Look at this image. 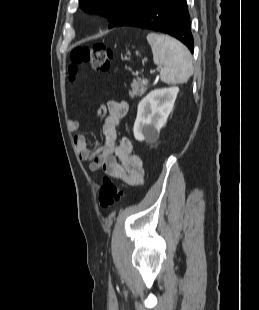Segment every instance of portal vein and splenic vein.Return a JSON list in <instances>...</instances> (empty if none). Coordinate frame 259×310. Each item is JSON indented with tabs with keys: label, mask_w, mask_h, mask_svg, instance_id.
Returning <instances> with one entry per match:
<instances>
[{
	"label": "portal vein and splenic vein",
	"mask_w": 259,
	"mask_h": 310,
	"mask_svg": "<svg viewBox=\"0 0 259 310\" xmlns=\"http://www.w3.org/2000/svg\"><path fill=\"white\" fill-rule=\"evenodd\" d=\"M154 71L153 70H150V73L152 74Z\"/></svg>",
	"instance_id": "18ae733b"
}]
</instances>
